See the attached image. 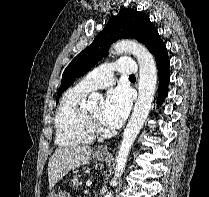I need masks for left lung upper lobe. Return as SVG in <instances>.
Returning <instances> with one entry per match:
<instances>
[{
    "label": "left lung upper lobe",
    "instance_id": "1",
    "mask_svg": "<svg viewBox=\"0 0 209 197\" xmlns=\"http://www.w3.org/2000/svg\"><path fill=\"white\" fill-rule=\"evenodd\" d=\"M122 38L139 40L147 46L151 53L163 42L147 14L134 9L123 8L117 16L110 18L92 44L80 52L66 67L56 101L77 77L89 71L107 54L108 48L113 42Z\"/></svg>",
    "mask_w": 209,
    "mask_h": 197
}]
</instances>
